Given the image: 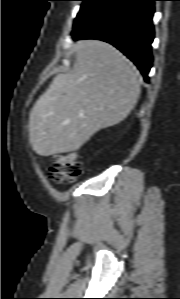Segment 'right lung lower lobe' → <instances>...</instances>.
<instances>
[{"instance_id": "obj_1", "label": "right lung lower lobe", "mask_w": 180, "mask_h": 299, "mask_svg": "<svg viewBox=\"0 0 180 299\" xmlns=\"http://www.w3.org/2000/svg\"><path fill=\"white\" fill-rule=\"evenodd\" d=\"M156 0H106L77 22L72 37L106 41L123 52L146 81L152 66L154 27L152 17Z\"/></svg>"}]
</instances>
